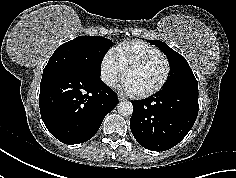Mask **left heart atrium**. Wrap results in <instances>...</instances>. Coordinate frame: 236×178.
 I'll use <instances>...</instances> for the list:
<instances>
[{"instance_id":"39dd6f15","label":"left heart atrium","mask_w":236,"mask_h":178,"mask_svg":"<svg viewBox=\"0 0 236 178\" xmlns=\"http://www.w3.org/2000/svg\"><path fill=\"white\" fill-rule=\"evenodd\" d=\"M121 88L126 92L133 93V90L131 89V87L126 82H124L122 84Z\"/></svg>"}]
</instances>
